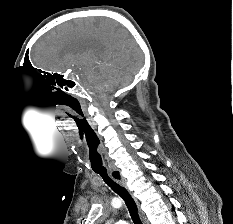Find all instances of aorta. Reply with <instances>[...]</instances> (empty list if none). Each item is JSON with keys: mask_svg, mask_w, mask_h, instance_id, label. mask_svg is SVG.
Listing matches in <instances>:
<instances>
[{"mask_svg": "<svg viewBox=\"0 0 233 224\" xmlns=\"http://www.w3.org/2000/svg\"><path fill=\"white\" fill-rule=\"evenodd\" d=\"M116 224H127V223L124 221H120V222H117Z\"/></svg>", "mask_w": 233, "mask_h": 224, "instance_id": "762f6f07", "label": "aorta"}]
</instances>
